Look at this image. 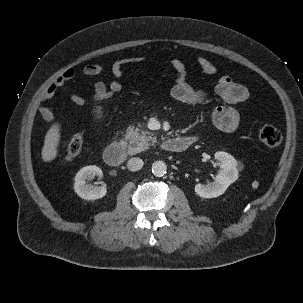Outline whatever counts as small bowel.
<instances>
[{
	"label": "small bowel",
	"instance_id": "obj_1",
	"mask_svg": "<svg viewBox=\"0 0 303 303\" xmlns=\"http://www.w3.org/2000/svg\"><path fill=\"white\" fill-rule=\"evenodd\" d=\"M145 61L146 58L144 56H130L113 62L110 67V73L114 78L108 83L96 81L93 86V99L101 98L105 92L119 93L122 90V84L118 79L126 74L125 66L140 64ZM196 63L200 70L207 75H214L219 71L218 66L206 57H198ZM171 67L174 71V80L170 93L176 101L184 104H198L208 99L209 94L205 90L195 88L189 83L187 67L182 60L178 58L172 59ZM104 71L105 68L100 64H88L83 68V73L87 76H96ZM74 77L75 71L68 69L44 91L41 97L39 113L46 122L52 123L55 120V116L52 110L46 106V102L60 92ZM214 92L224 105L217 106L210 111V122L221 131H235L241 124V116L231 105L246 101L249 98L248 89L236 82L230 75H222L215 85ZM68 97L77 105H85L87 103L83 97L75 93H69ZM189 137L193 141L196 140L195 136Z\"/></svg>",
	"mask_w": 303,
	"mask_h": 303
}]
</instances>
